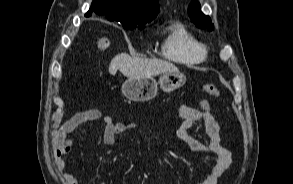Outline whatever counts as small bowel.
Segmentation results:
<instances>
[{"label": "small bowel", "mask_w": 293, "mask_h": 184, "mask_svg": "<svg viewBox=\"0 0 293 184\" xmlns=\"http://www.w3.org/2000/svg\"><path fill=\"white\" fill-rule=\"evenodd\" d=\"M178 116L181 119V125L176 135L185 147L196 153L209 154L215 159L210 173L198 184H218L220 178L226 173L231 165L232 157L229 150L222 144L220 127L215 120L210 105L207 101L200 102L199 108L182 105L178 110ZM90 121H101L104 124L103 142L106 145H113L120 134L125 131L136 130V124H126L123 122H114L110 116L103 115L98 109H87L73 115L60 129L58 137L68 135L79 126ZM202 125L206 141L202 142L190 134V129ZM55 165L58 170H64L65 160L56 156ZM64 184H80L78 178L71 172L64 175ZM100 184H105L100 182Z\"/></svg>", "instance_id": "obj_1"}]
</instances>
